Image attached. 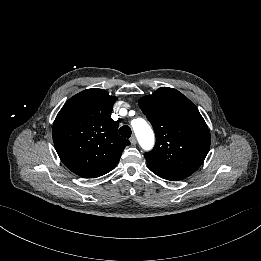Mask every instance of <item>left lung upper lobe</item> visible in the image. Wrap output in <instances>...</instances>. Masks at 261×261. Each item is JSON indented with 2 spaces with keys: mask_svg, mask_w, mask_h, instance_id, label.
<instances>
[{
  "mask_svg": "<svg viewBox=\"0 0 261 261\" xmlns=\"http://www.w3.org/2000/svg\"><path fill=\"white\" fill-rule=\"evenodd\" d=\"M156 134V144L145 153L147 164L191 175L210 148V132L197 107L179 91L161 87L139 100Z\"/></svg>",
  "mask_w": 261,
  "mask_h": 261,
  "instance_id": "1",
  "label": "left lung upper lobe"
}]
</instances>
